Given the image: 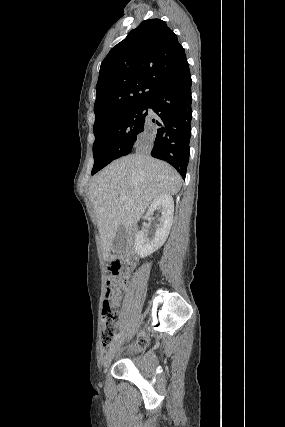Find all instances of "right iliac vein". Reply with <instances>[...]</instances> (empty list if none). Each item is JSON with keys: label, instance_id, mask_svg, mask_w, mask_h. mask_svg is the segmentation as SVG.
<instances>
[{"label": "right iliac vein", "instance_id": "right-iliac-vein-1", "mask_svg": "<svg viewBox=\"0 0 285 427\" xmlns=\"http://www.w3.org/2000/svg\"><path fill=\"white\" fill-rule=\"evenodd\" d=\"M123 342V339H119L118 341H116L115 343H113L110 348L108 349V351L106 352V355L104 357V362H103V366L105 369H108V367L111 364V361L115 355V353L118 351V349L121 347Z\"/></svg>", "mask_w": 285, "mask_h": 427}]
</instances>
